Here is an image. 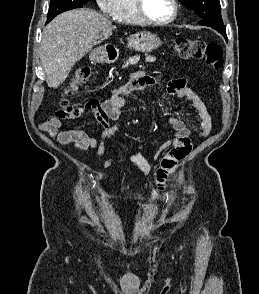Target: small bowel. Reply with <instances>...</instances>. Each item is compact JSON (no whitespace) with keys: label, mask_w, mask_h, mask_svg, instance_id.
<instances>
[{"label":"small bowel","mask_w":259,"mask_h":294,"mask_svg":"<svg viewBox=\"0 0 259 294\" xmlns=\"http://www.w3.org/2000/svg\"><path fill=\"white\" fill-rule=\"evenodd\" d=\"M157 81L158 78L139 72L133 75L125 86L112 90L103 101L90 99L76 103L65 111H56L40 124V129L59 145L74 144L75 152L96 150L97 156H102L106 151V143L116 141L119 131V127L112 126L110 121L117 120L121 116L126 100L130 95L156 85ZM166 90L174 98H186L191 102L193 109L200 118V136H207L212 128L211 116L203 101L189 88L186 79L180 78L170 81ZM84 114L93 115L103 128L99 139L79 128L62 130L64 120L75 119ZM169 124L175 130L176 138L174 141L163 145L164 148L169 146H172V148L165 152L160 159V165L156 171L157 186L152 191V198H156L162 192L168 175L174 170L177 163L189 155L192 150L190 130L186 122L172 116L169 118ZM128 157L143 175L148 174L153 167V162H149L140 152H131ZM156 158L157 156H155ZM111 164L112 158L109 157L103 163V167L108 168ZM93 176L100 178L101 174L95 173ZM148 187L149 185L146 184L145 188Z\"/></svg>","instance_id":"1"}]
</instances>
